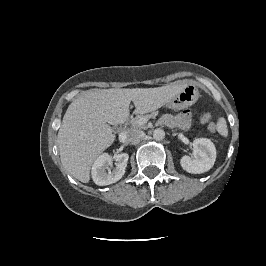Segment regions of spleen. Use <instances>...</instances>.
I'll return each instance as SVG.
<instances>
[{"mask_svg":"<svg viewBox=\"0 0 266 266\" xmlns=\"http://www.w3.org/2000/svg\"><path fill=\"white\" fill-rule=\"evenodd\" d=\"M217 131L224 137L228 135V129L226 120L224 118H220L217 123Z\"/></svg>","mask_w":266,"mask_h":266,"instance_id":"3e777b00","label":"spleen"}]
</instances>
